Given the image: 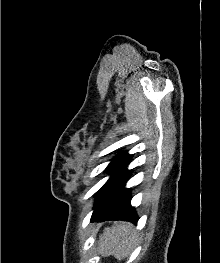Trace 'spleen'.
<instances>
[{
    "instance_id": "obj_1",
    "label": "spleen",
    "mask_w": 220,
    "mask_h": 263,
    "mask_svg": "<svg viewBox=\"0 0 220 263\" xmlns=\"http://www.w3.org/2000/svg\"><path fill=\"white\" fill-rule=\"evenodd\" d=\"M138 236L130 223H116L106 228L99 238L100 251L105 255H114L118 260L126 258L134 248Z\"/></svg>"
}]
</instances>
